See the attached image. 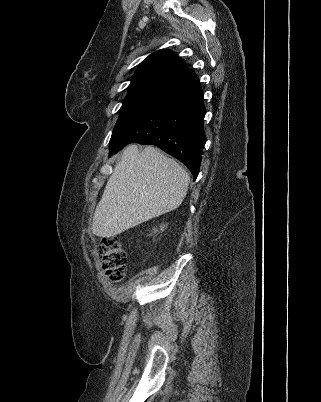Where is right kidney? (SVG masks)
<instances>
[{
  "label": "right kidney",
  "instance_id": "1",
  "mask_svg": "<svg viewBox=\"0 0 321 402\" xmlns=\"http://www.w3.org/2000/svg\"><path fill=\"white\" fill-rule=\"evenodd\" d=\"M163 228H164V227L162 226V227H161V230H162V231H163ZM156 232H157V230H156V229H154V233H156Z\"/></svg>",
  "mask_w": 321,
  "mask_h": 402
}]
</instances>
